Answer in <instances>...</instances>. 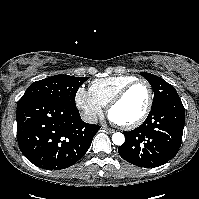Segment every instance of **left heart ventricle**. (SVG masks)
Segmentation results:
<instances>
[{"instance_id": "left-heart-ventricle-1", "label": "left heart ventricle", "mask_w": 199, "mask_h": 199, "mask_svg": "<svg viewBox=\"0 0 199 199\" xmlns=\"http://www.w3.org/2000/svg\"><path fill=\"white\" fill-rule=\"evenodd\" d=\"M148 100L146 85L139 83L131 88L123 100L114 106L110 114L119 123L132 122L144 112Z\"/></svg>"}]
</instances>
